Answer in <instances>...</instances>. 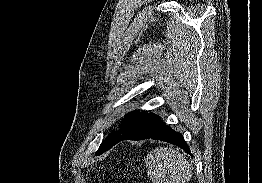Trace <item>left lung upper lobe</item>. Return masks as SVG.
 <instances>
[{
	"label": "left lung upper lobe",
	"instance_id": "5c2ea615",
	"mask_svg": "<svg viewBox=\"0 0 262 183\" xmlns=\"http://www.w3.org/2000/svg\"><path fill=\"white\" fill-rule=\"evenodd\" d=\"M151 113L131 112L126 114L124 120L119 125V130L109 134L101 143L96 155H100L108 150V148L116 141L126 138L137 132L151 117Z\"/></svg>",
	"mask_w": 262,
	"mask_h": 183
}]
</instances>
